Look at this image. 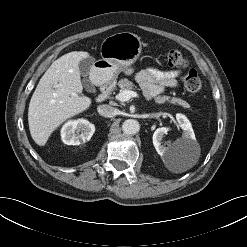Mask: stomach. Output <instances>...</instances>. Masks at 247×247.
Segmentation results:
<instances>
[{
	"label": "stomach",
	"instance_id": "stomach-1",
	"mask_svg": "<svg viewBox=\"0 0 247 247\" xmlns=\"http://www.w3.org/2000/svg\"><path fill=\"white\" fill-rule=\"evenodd\" d=\"M142 51L140 37L130 32H120L108 36L101 44L102 59L95 62L93 74L101 82L115 79L125 71L131 74L130 66L138 59Z\"/></svg>",
	"mask_w": 247,
	"mask_h": 247
}]
</instances>
